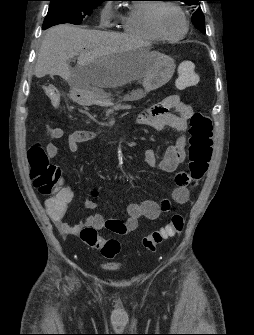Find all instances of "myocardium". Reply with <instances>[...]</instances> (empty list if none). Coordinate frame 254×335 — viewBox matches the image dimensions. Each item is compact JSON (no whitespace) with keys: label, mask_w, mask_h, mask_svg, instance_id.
Listing matches in <instances>:
<instances>
[{"label":"myocardium","mask_w":254,"mask_h":335,"mask_svg":"<svg viewBox=\"0 0 254 335\" xmlns=\"http://www.w3.org/2000/svg\"><path fill=\"white\" fill-rule=\"evenodd\" d=\"M163 7H170L173 8L174 10H176L182 20H183V30L180 34L176 35V36H167L165 34H163L161 32V30L159 29L158 26V12L161 8ZM148 25L151 29V31L161 40H166V41H178L181 40L185 37V35L188 33L189 31V20L185 14V12L183 11V9L177 5L176 3L173 2H159L156 4H153L148 12Z\"/></svg>","instance_id":"f54148a6"}]
</instances>
